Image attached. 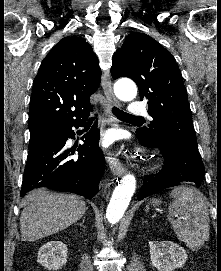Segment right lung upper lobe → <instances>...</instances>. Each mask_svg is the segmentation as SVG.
<instances>
[{
    "mask_svg": "<svg viewBox=\"0 0 221 271\" xmlns=\"http://www.w3.org/2000/svg\"><path fill=\"white\" fill-rule=\"evenodd\" d=\"M101 70L92 47L76 36L65 37L48 53L34 79L29 110L30 131L63 127L86 117Z\"/></svg>",
    "mask_w": 221,
    "mask_h": 271,
    "instance_id": "obj_1",
    "label": "right lung upper lobe"
}]
</instances>
